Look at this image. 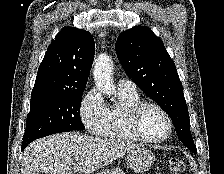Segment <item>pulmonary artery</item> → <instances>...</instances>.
<instances>
[{
    "label": "pulmonary artery",
    "instance_id": "pulmonary-artery-1",
    "mask_svg": "<svg viewBox=\"0 0 224 174\" xmlns=\"http://www.w3.org/2000/svg\"><path fill=\"white\" fill-rule=\"evenodd\" d=\"M118 90L129 93L137 92L135 83L127 79H120L118 81Z\"/></svg>",
    "mask_w": 224,
    "mask_h": 174
}]
</instances>
